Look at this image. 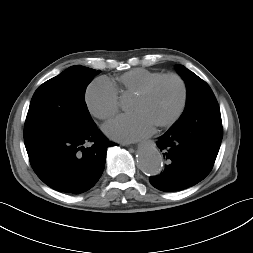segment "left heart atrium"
I'll list each match as a JSON object with an SVG mask.
<instances>
[{
    "mask_svg": "<svg viewBox=\"0 0 253 253\" xmlns=\"http://www.w3.org/2000/svg\"><path fill=\"white\" fill-rule=\"evenodd\" d=\"M155 125L143 114L136 112L120 116L104 126L105 133L122 142H132L150 135Z\"/></svg>",
    "mask_w": 253,
    "mask_h": 253,
    "instance_id": "left-heart-atrium-1",
    "label": "left heart atrium"
}]
</instances>
